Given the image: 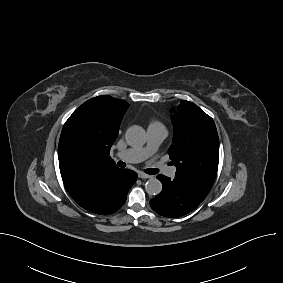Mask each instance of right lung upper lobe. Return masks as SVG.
I'll return each mask as SVG.
<instances>
[{
  "instance_id": "right-lung-upper-lobe-1",
  "label": "right lung upper lobe",
  "mask_w": 283,
  "mask_h": 283,
  "mask_svg": "<svg viewBox=\"0 0 283 283\" xmlns=\"http://www.w3.org/2000/svg\"><path fill=\"white\" fill-rule=\"evenodd\" d=\"M127 108L126 101L103 95L86 101L74 111L81 116L90 140L87 146L76 149L59 141V168L69 193L101 171L116 167L109 156L110 147Z\"/></svg>"
}]
</instances>
